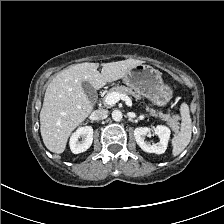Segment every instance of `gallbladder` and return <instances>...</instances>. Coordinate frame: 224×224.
<instances>
[{
  "label": "gallbladder",
  "instance_id": "1",
  "mask_svg": "<svg viewBox=\"0 0 224 224\" xmlns=\"http://www.w3.org/2000/svg\"><path fill=\"white\" fill-rule=\"evenodd\" d=\"M82 88L88 99L92 100L95 97L96 95L95 90L88 82H83Z\"/></svg>",
  "mask_w": 224,
  "mask_h": 224
}]
</instances>
